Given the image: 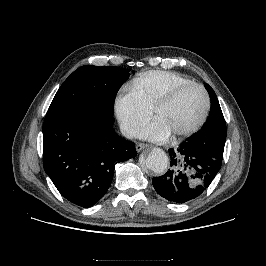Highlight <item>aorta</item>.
Instances as JSON below:
<instances>
[{
    "instance_id": "obj_1",
    "label": "aorta",
    "mask_w": 266,
    "mask_h": 266,
    "mask_svg": "<svg viewBox=\"0 0 266 266\" xmlns=\"http://www.w3.org/2000/svg\"><path fill=\"white\" fill-rule=\"evenodd\" d=\"M145 164L154 173L161 174L167 169L169 159L164 150L153 148L146 157Z\"/></svg>"
}]
</instances>
